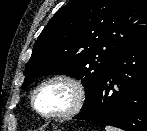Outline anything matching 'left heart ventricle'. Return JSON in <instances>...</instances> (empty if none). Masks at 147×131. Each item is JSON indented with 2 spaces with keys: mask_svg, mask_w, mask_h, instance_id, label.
Returning a JSON list of instances; mask_svg holds the SVG:
<instances>
[{
  "mask_svg": "<svg viewBox=\"0 0 147 131\" xmlns=\"http://www.w3.org/2000/svg\"><path fill=\"white\" fill-rule=\"evenodd\" d=\"M74 93L63 82H52L43 86L36 95V106L45 114L66 111L73 103Z\"/></svg>",
  "mask_w": 147,
  "mask_h": 131,
  "instance_id": "obj_1",
  "label": "left heart ventricle"
}]
</instances>
